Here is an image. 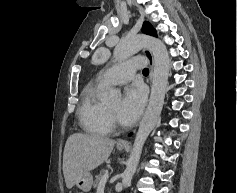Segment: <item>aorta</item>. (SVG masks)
I'll return each instance as SVG.
<instances>
[{"instance_id":"1","label":"aorta","mask_w":237,"mask_h":193,"mask_svg":"<svg viewBox=\"0 0 237 193\" xmlns=\"http://www.w3.org/2000/svg\"><path fill=\"white\" fill-rule=\"evenodd\" d=\"M143 48L149 49L154 58L151 94L134 140L133 149L122 173L124 187L130 185L136 172L144 143L160 118L169 77L170 58L166 46L161 40L149 35H128L116 46L114 59L115 61L124 60ZM120 95L118 90H111L107 100L117 101Z\"/></svg>"}]
</instances>
